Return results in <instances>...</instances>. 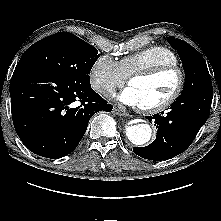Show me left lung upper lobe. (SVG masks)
<instances>
[{"instance_id":"1","label":"left lung upper lobe","mask_w":221,"mask_h":221,"mask_svg":"<svg viewBox=\"0 0 221 221\" xmlns=\"http://www.w3.org/2000/svg\"><path fill=\"white\" fill-rule=\"evenodd\" d=\"M169 44L177 50L185 70V83L179 98L188 96L202 88L211 87L212 82L205 60L191 45L173 36Z\"/></svg>"}]
</instances>
